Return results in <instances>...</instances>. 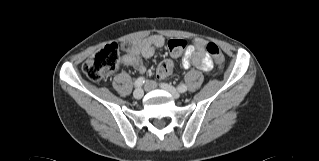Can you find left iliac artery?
Returning <instances> with one entry per match:
<instances>
[{
  "instance_id": "1",
  "label": "left iliac artery",
  "mask_w": 319,
  "mask_h": 161,
  "mask_svg": "<svg viewBox=\"0 0 319 161\" xmlns=\"http://www.w3.org/2000/svg\"><path fill=\"white\" fill-rule=\"evenodd\" d=\"M187 90V86L185 84H181L178 86V91L184 93Z\"/></svg>"
}]
</instances>
